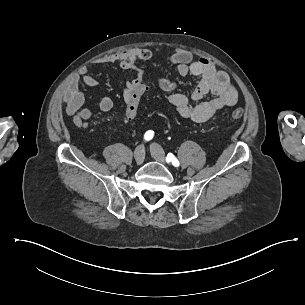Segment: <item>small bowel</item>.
<instances>
[{"instance_id": "small-bowel-1", "label": "small bowel", "mask_w": 305, "mask_h": 305, "mask_svg": "<svg viewBox=\"0 0 305 305\" xmlns=\"http://www.w3.org/2000/svg\"><path fill=\"white\" fill-rule=\"evenodd\" d=\"M152 55L153 52L149 48H135L97 57L93 59L92 63L95 65L117 64L123 69L134 71V78L126 82L124 87L123 97L126 103L131 92L140 86L146 87V74L144 69L138 66V62L148 60ZM169 62L176 65L178 75L185 77L190 74L199 78L190 98L174 92L175 82L166 78L158 80L159 87L167 93V100L181 117L196 123H203L222 108L233 106L237 102L238 92L232 85L229 76L223 71L216 70L207 58L200 57L193 60L191 52L177 49L170 55ZM80 80L91 89H96L99 86L98 81L89 74V69L82 68L79 75L72 77L68 83L65 93V111L68 116L72 117L73 123L77 127L87 128L94 112L82 108L85 95L79 89ZM207 94H211V98L196 105L192 104L200 101ZM99 108L102 112H109L113 108L112 99L107 96L102 97Z\"/></svg>"}]
</instances>
